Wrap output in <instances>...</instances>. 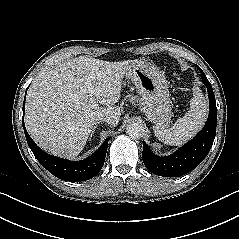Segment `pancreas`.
<instances>
[{"mask_svg": "<svg viewBox=\"0 0 239 239\" xmlns=\"http://www.w3.org/2000/svg\"><path fill=\"white\" fill-rule=\"evenodd\" d=\"M128 97L130 98V101H132V102L136 101V97H134V96H128Z\"/></svg>", "mask_w": 239, "mask_h": 239, "instance_id": "cf45deb5", "label": "pancreas"}]
</instances>
